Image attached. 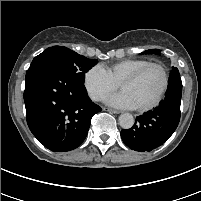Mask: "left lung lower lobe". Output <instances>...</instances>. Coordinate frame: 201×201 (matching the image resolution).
I'll use <instances>...</instances> for the list:
<instances>
[{
    "mask_svg": "<svg viewBox=\"0 0 201 201\" xmlns=\"http://www.w3.org/2000/svg\"><path fill=\"white\" fill-rule=\"evenodd\" d=\"M182 81L180 75L171 76L166 97L154 110L136 117L130 129L121 130L123 142L135 151H151L165 143L180 121Z\"/></svg>",
    "mask_w": 201,
    "mask_h": 201,
    "instance_id": "0a47b994",
    "label": "left lung lower lobe"
}]
</instances>
